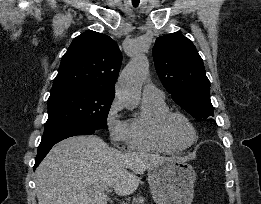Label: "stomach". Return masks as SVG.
<instances>
[{"label":"stomach","mask_w":261,"mask_h":204,"mask_svg":"<svg viewBox=\"0 0 261 204\" xmlns=\"http://www.w3.org/2000/svg\"><path fill=\"white\" fill-rule=\"evenodd\" d=\"M196 173L185 160L172 158L148 169V183L156 204H191Z\"/></svg>","instance_id":"obj_1"}]
</instances>
